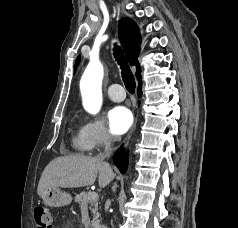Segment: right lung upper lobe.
<instances>
[{
	"instance_id": "cb5924a9",
	"label": "right lung upper lobe",
	"mask_w": 238,
	"mask_h": 228,
	"mask_svg": "<svg viewBox=\"0 0 238 228\" xmlns=\"http://www.w3.org/2000/svg\"><path fill=\"white\" fill-rule=\"evenodd\" d=\"M119 39L125 51L127 60L130 65H136V76L137 79H141L140 65L137 61L139 54V46L141 43L140 32L137 24L129 19L122 18L119 22ZM79 64V57L75 63V69Z\"/></svg>"
}]
</instances>
